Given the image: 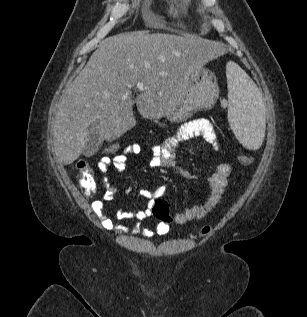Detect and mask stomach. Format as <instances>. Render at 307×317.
I'll use <instances>...</instances> for the list:
<instances>
[{"label":"stomach","instance_id":"1","mask_svg":"<svg viewBox=\"0 0 307 317\" xmlns=\"http://www.w3.org/2000/svg\"><path fill=\"white\" fill-rule=\"evenodd\" d=\"M218 95L219 88L213 73L200 68L191 75L189 86L179 104L163 117L173 122L184 121L195 111L211 108Z\"/></svg>","mask_w":307,"mask_h":317}]
</instances>
